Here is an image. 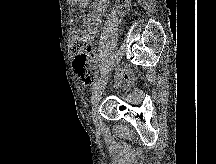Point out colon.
I'll return each instance as SVG.
<instances>
[{"mask_svg":"<svg viewBox=\"0 0 216 164\" xmlns=\"http://www.w3.org/2000/svg\"><path fill=\"white\" fill-rule=\"evenodd\" d=\"M116 5L121 13H125L129 8L128 0H117ZM97 24V20H85L83 33L75 35L71 44V51L75 55V69L85 85L93 84L97 78L95 56L92 47L86 44L87 36Z\"/></svg>","mask_w":216,"mask_h":164,"instance_id":"1","label":"colon"}]
</instances>
